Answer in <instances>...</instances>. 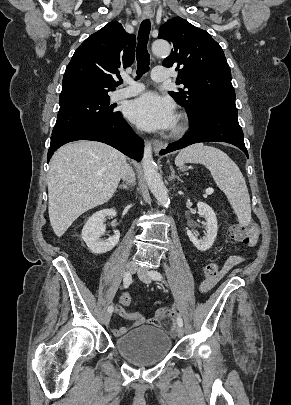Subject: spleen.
Segmentation results:
<instances>
[{
    "mask_svg": "<svg viewBox=\"0 0 291 405\" xmlns=\"http://www.w3.org/2000/svg\"><path fill=\"white\" fill-rule=\"evenodd\" d=\"M200 163L211 172L217 186L226 194L240 224L251 220L250 196L245 179L236 163L222 150L195 144L183 149L176 157L175 164Z\"/></svg>",
    "mask_w": 291,
    "mask_h": 405,
    "instance_id": "3e777b00",
    "label": "spleen"
}]
</instances>
